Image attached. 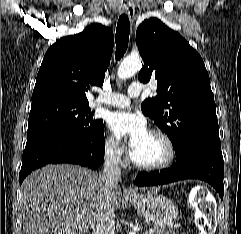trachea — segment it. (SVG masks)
Segmentation results:
<instances>
[{"label": "trachea", "mask_w": 241, "mask_h": 234, "mask_svg": "<svg viewBox=\"0 0 241 234\" xmlns=\"http://www.w3.org/2000/svg\"><path fill=\"white\" fill-rule=\"evenodd\" d=\"M130 34V22L129 18L126 14H122L119 17L117 28H116V60H120V58L125 54Z\"/></svg>", "instance_id": "trachea-1"}]
</instances>
